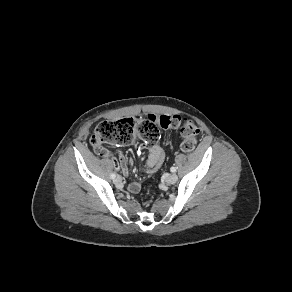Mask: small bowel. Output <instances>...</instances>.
<instances>
[{
  "mask_svg": "<svg viewBox=\"0 0 292 292\" xmlns=\"http://www.w3.org/2000/svg\"><path fill=\"white\" fill-rule=\"evenodd\" d=\"M143 148H146L149 152V156L147 158L144 170L146 172H154L156 171L163 163L164 160V150L163 148L155 143L145 142L142 145ZM101 156L112 158L114 161V165L117 169H119L125 176L129 175V167L128 164H133V160H128L122 154H119L118 157H114V155L104 149L102 152L98 153ZM141 189V184L138 181H133L129 183L128 190L131 193H137Z\"/></svg>",
  "mask_w": 292,
  "mask_h": 292,
  "instance_id": "small-bowel-1",
  "label": "small bowel"
}]
</instances>
